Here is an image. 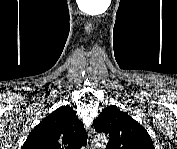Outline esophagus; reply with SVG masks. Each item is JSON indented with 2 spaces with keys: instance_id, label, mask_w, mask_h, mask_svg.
Here are the masks:
<instances>
[{
  "instance_id": "obj_1",
  "label": "esophagus",
  "mask_w": 177,
  "mask_h": 149,
  "mask_svg": "<svg viewBox=\"0 0 177 149\" xmlns=\"http://www.w3.org/2000/svg\"><path fill=\"white\" fill-rule=\"evenodd\" d=\"M93 141L91 139H88L87 141V146H88V149H93Z\"/></svg>"
}]
</instances>
